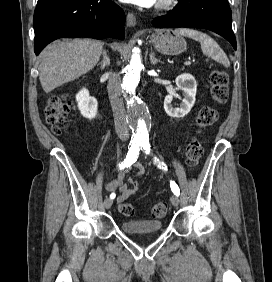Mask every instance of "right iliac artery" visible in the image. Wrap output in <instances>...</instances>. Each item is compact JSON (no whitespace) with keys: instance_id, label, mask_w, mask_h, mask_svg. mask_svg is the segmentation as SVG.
<instances>
[{"instance_id":"82829eb1","label":"right iliac artery","mask_w":272,"mask_h":282,"mask_svg":"<svg viewBox=\"0 0 272 282\" xmlns=\"http://www.w3.org/2000/svg\"><path fill=\"white\" fill-rule=\"evenodd\" d=\"M129 146L130 148L124 162H122V164H119L120 169H124L125 167H130L131 164H133L138 157L140 146H141L140 142L132 141L130 142ZM115 197H116L115 193H112L110 195L111 199H114Z\"/></svg>"}]
</instances>
